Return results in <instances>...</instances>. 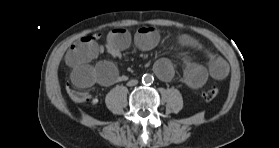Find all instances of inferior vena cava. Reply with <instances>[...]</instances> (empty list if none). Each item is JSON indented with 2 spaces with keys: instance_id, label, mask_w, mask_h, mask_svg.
I'll use <instances>...</instances> for the list:
<instances>
[{
  "instance_id": "1",
  "label": "inferior vena cava",
  "mask_w": 279,
  "mask_h": 148,
  "mask_svg": "<svg viewBox=\"0 0 279 148\" xmlns=\"http://www.w3.org/2000/svg\"><path fill=\"white\" fill-rule=\"evenodd\" d=\"M137 84H138V80H136V79L130 80V81L127 83L128 86H135V85H137Z\"/></svg>"
}]
</instances>
